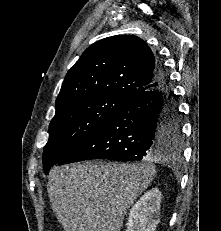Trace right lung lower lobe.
Here are the masks:
<instances>
[{
    "label": "right lung lower lobe",
    "instance_id": "right-lung-lower-lobe-1",
    "mask_svg": "<svg viewBox=\"0 0 221 231\" xmlns=\"http://www.w3.org/2000/svg\"><path fill=\"white\" fill-rule=\"evenodd\" d=\"M156 86L129 98L101 127L58 165L90 160L138 161L176 148L164 137L177 109L164 66L157 67Z\"/></svg>",
    "mask_w": 221,
    "mask_h": 231
}]
</instances>
